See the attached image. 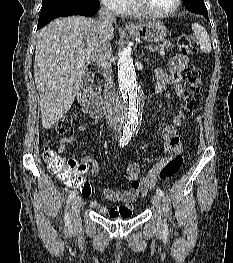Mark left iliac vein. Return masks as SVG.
<instances>
[{"mask_svg":"<svg viewBox=\"0 0 233 263\" xmlns=\"http://www.w3.org/2000/svg\"><path fill=\"white\" fill-rule=\"evenodd\" d=\"M152 204L155 207V209L157 210L158 214L160 215L159 220H158V226L161 227L163 224V220L161 218V214H162L161 196H159L158 194H154L152 197Z\"/></svg>","mask_w":233,"mask_h":263,"instance_id":"4c4485c4","label":"left iliac vein"}]
</instances>
